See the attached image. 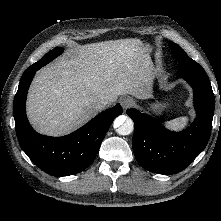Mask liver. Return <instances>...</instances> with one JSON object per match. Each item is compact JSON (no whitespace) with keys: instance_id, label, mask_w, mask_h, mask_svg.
Segmentation results:
<instances>
[{"instance_id":"obj_1","label":"liver","mask_w":221,"mask_h":221,"mask_svg":"<svg viewBox=\"0 0 221 221\" xmlns=\"http://www.w3.org/2000/svg\"><path fill=\"white\" fill-rule=\"evenodd\" d=\"M151 67L139 39L80 45L38 72L27 98L29 121L39 133L68 134L97 114L102 97L108 105L124 94L149 97Z\"/></svg>"}]
</instances>
